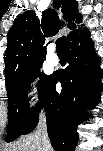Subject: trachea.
<instances>
[{"mask_svg":"<svg viewBox=\"0 0 103 151\" xmlns=\"http://www.w3.org/2000/svg\"><path fill=\"white\" fill-rule=\"evenodd\" d=\"M56 51L60 55H66V37L63 36L56 41Z\"/></svg>","mask_w":103,"mask_h":151,"instance_id":"obj_1","label":"trachea"}]
</instances>
